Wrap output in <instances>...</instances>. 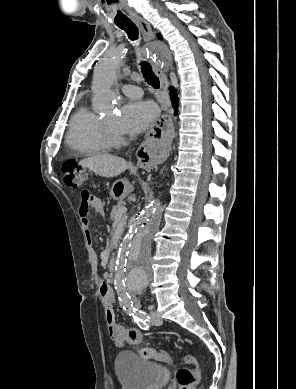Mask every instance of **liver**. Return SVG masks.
<instances>
[{
	"label": "liver",
	"instance_id": "1",
	"mask_svg": "<svg viewBox=\"0 0 296 389\" xmlns=\"http://www.w3.org/2000/svg\"><path fill=\"white\" fill-rule=\"evenodd\" d=\"M79 164L93 171L96 175L106 178L117 177L129 168L125 159L101 154L82 159Z\"/></svg>",
	"mask_w": 296,
	"mask_h": 389
}]
</instances>
